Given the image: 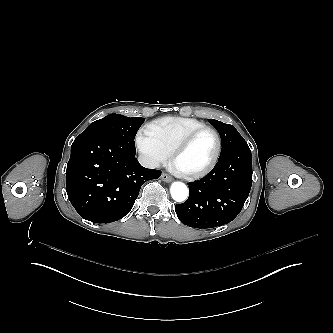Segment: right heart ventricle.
Returning a JSON list of instances; mask_svg holds the SVG:
<instances>
[{
	"instance_id": "right-heart-ventricle-1",
	"label": "right heart ventricle",
	"mask_w": 333,
	"mask_h": 333,
	"mask_svg": "<svg viewBox=\"0 0 333 333\" xmlns=\"http://www.w3.org/2000/svg\"><path fill=\"white\" fill-rule=\"evenodd\" d=\"M203 126H206L204 122L193 118L166 117L145 124L139 132L138 140L168 155L185 134Z\"/></svg>"
}]
</instances>
